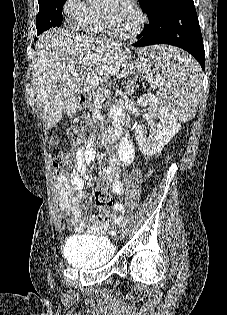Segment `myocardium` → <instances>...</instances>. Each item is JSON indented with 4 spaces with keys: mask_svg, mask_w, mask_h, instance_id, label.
<instances>
[{
    "mask_svg": "<svg viewBox=\"0 0 227 315\" xmlns=\"http://www.w3.org/2000/svg\"><path fill=\"white\" fill-rule=\"evenodd\" d=\"M128 3L133 8L138 18V23H137L136 28L133 30V32L129 34H122V33L117 32L112 27L107 15L104 12H101V18H102V22H103L105 30L112 36L118 39L124 40V41L132 40L136 38L142 32L146 24V16L144 12L142 11V9L139 7V5L134 0H128Z\"/></svg>",
    "mask_w": 227,
    "mask_h": 315,
    "instance_id": "1",
    "label": "myocardium"
}]
</instances>
